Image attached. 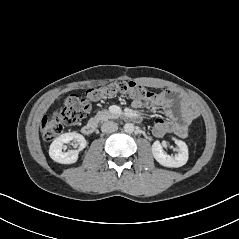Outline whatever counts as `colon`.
Instances as JSON below:
<instances>
[{"label":"colon","mask_w":239,"mask_h":239,"mask_svg":"<svg viewBox=\"0 0 239 239\" xmlns=\"http://www.w3.org/2000/svg\"><path fill=\"white\" fill-rule=\"evenodd\" d=\"M118 94L128 95L147 102L156 98L153 92L132 81L113 82L103 87L92 88L88 90L85 99L71 95L66 98L63 106L53 116L43 117L41 121L43 137L46 140L54 139L66 126L75 125L85 118L90 111L91 102ZM169 125V121L166 118H156L152 124L153 135L161 138L165 137L168 134Z\"/></svg>","instance_id":"5ec220e1"}]
</instances>
